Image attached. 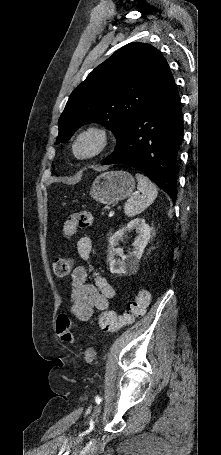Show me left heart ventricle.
<instances>
[{
	"mask_svg": "<svg viewBox=\"0 0 221 455\" xmlns=\"http://www.w3.org/2000/svg\"><path fill=\"white\" fill-rule=\"evenodd\" d=\"M93 145H94V143L92 141H90V140L84 141L81 144L79 151L81 153H88V152H90L92 150Z\"/></svg>",
	"mask_w": 221,
	"mask_h": 455,
	"instance_id": "1",
	"label": "left heart ventricle"
}]
</instances>
